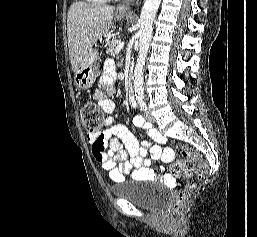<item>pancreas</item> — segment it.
Here are the masks:
<instances>
[{
    "label": "pancreas",
    "mask_w": 257,
    "mask_h": 237,
    "mask_svg": "<svg viewBox=\"0 0 257 237\" xmlns=\"http://www.w3.org/2000/svg\"><path fill=\"white\" fill-rule=\"evenodd\" d=\"M118 45L117 39L113 38L111 42L109 43V47L107 48L106 52L109 55H115L116 54V46Z\"/></svg>",
    "instance_id": "cf45deb5"
}]
</instances>
